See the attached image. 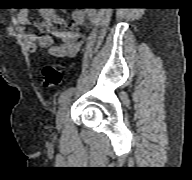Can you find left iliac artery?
I'll list each match as a JSON object with an SVG mask.
<instances>
[{"instance_id": "obj_1", "label": "left iliac artery", "mask_w": 192, "mask_h": 180, "mask_svg": "<svg viewBox=\"0 0 192 180\" xmlns=\"http://www.w3.org/2000/svg\"><path fill=\"white\" fill-rule=\"evenodd\" d=\"M73 91H74L73 87H70L65 91H63L58 99L59 103L64 102L72 94Z\"/></svg>"}]
</instances>
